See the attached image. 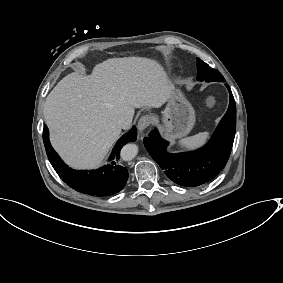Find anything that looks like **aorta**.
I'll return each instance as SVG.
<instances>
[{
  "instance_id": "1",
  "label": "aorta",
  "mask_w": 283,
  "mask_h": 283,
  "mask_svg": "<svg viewBox=\"0 0 283 283\" xmlns=\"http://www.w3.org/2000/svg\"><path fill=\"white\" fill-rule=\"evenodd\" d=\"M138 147L135 144H127L121 149V157L124 161H130L136 157Z\"/></svg>"
}]
</instances>
